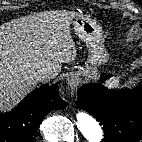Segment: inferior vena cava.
<instances>
[{"label":"inferior vena cava","mask_w":142,"mask_h":142,"mask_svg":"<svg viewBox=\"0 0 142 142\" xmlns=\"http://www.w3.org/2000/svg\"><path fill=\"white\" fill-rule=\"evenodd\" d=\"M56 74L50 67H42L37 70L36 77L39 81H44L50 78H53Z\"/></svg>","instance_id":"obj_1"}]
</instances>
